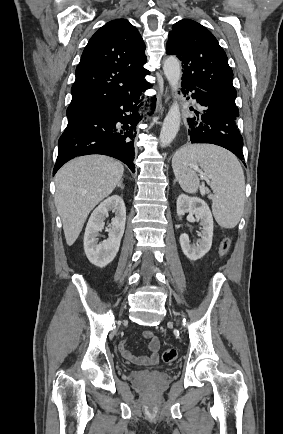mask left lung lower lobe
Instances as JSON below:
<instances>
[{
	"label": "left lung lower lobe",
	"mask_w": 283,
	"mask_h": 434,
	"mask_svg": "<svg viewBox=\"0 0 283 434\" xmlns=\"http://www.w3.org/2000/svg\"><path fill=\"white\" fill-rule=\"evenodd\" d=\"M181 91L183 94L193 92L191 97L199 104L198 110L190 108L194 114L187 118L191 143L219 145L243 160V138L236 126L239 115L237 106L194 84L182 82Z\"/></svg>",
	"instance_id": "0a47b994"
}]
</instances>
